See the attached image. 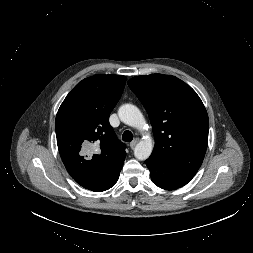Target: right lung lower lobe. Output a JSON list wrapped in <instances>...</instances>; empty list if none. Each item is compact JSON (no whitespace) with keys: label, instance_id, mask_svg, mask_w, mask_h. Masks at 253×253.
<instances>
[{"label":"right lung lower lobe","instance_id":"98d812e1","mask_svg":"<svg viewBox=\"0 0 253 253\" xmlns=\"http://www.w3.org/2000/svg\"><path fill=\"white\" fill-rule=\"evenodd\" d=\"M118 177H119V174L113 179V181L103 191L110 189L117 182Z\"/></svg>","mask_w":253,"mask_h":253}]
</instances>
